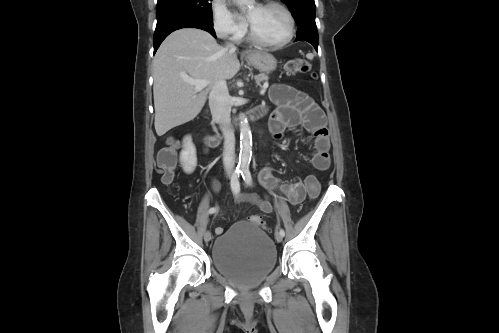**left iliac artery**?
<instances>
[{"label":"left iliac artery","mask_w":499,"mask_h":333,"mask_svg":"<svg viewBox=\"0 0 499 333\" xmlns=\"http://www.w3.org/2000/svg\"><path fill=\"white\" fill-rule=\"evenodd\" d=\"M241 175H242V178L243 180L247 183V184H251L252 182V177H251V172L249 170L248 167H245L242 169V172H241ZM280 234L282 236H285V231L283 229H280Z\"/></svg>","instance_id":"left-iliac-artery-1"}]
</instances>
